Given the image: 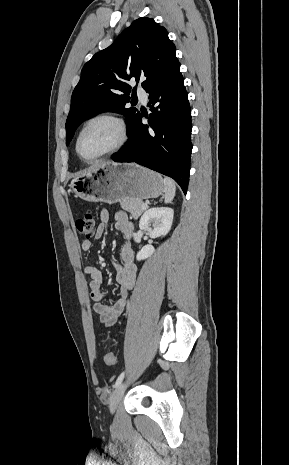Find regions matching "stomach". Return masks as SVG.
<instances>
[{
	"instance_id": "stomach-1",
	"label": "stomach",
	"mask_w": 289,
	"mask_h": 465,
	"mask_svg": "<svg viewBox=\"0 0 289 465\" xmlns=\"http://www.w3.org/2000/svg\"><path fill=\"white\" fill-rule=\"evenodd\" d=\"M69 186L75 197L109 204L155 198L164 192L160 174L134 163L102 164L75 177Z\"/></svg>"
}]
</instances>
